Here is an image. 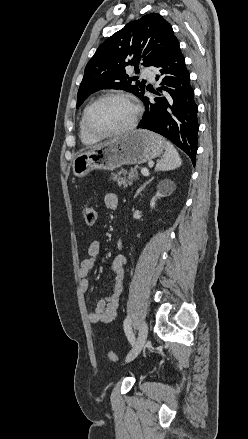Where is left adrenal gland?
Returning a JSON list of instances; mask_svg holds the SVG:
<instances>
[{"instance_id":"1","label":"left adrenal gland","mask_w":248,"mask_h":439,"mask_svg":"<svg viewBox=\"0 0 248 439\" xmlns=\"http://www.w3.org/2000/svg\"><path fill=\"white\" fill-rule=\"evenodd\" d=\"M154 179V177H152L150 180H148L147 182H145L136 192L134 198H136L138 196V194H140V192L146 187V185H148L152 180Z\"/></svg>"}]
</instances>
